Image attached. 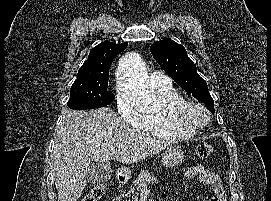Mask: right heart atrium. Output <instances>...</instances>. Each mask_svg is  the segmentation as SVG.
Listing matches in <instances>:
<instances>
[{
	"instance_id": "1",
	"label": "right heart atrium",
	"mask_w": 271,
	"mask_h": 201,
	"mask_svg": "<svg viewBox=\"0 0 271 201\" xmlns=\"http://www.w3.org/2000/svg\"><path fill=\"white\" fill-rule=\"evenodd\" d=\"M116 107L120 115L130 124L142 128L146 115L138 112L132 104L121 94H116Z\"/></svg>"
}]
</instances>
